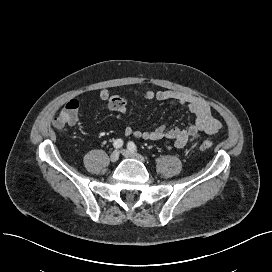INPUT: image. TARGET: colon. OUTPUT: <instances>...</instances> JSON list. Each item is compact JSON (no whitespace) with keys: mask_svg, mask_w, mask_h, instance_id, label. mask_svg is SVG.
<instances>
[{"mask_svg":"<svg viewBox=\"0 0 272 272\" xmlns=\"http://www.w3.org/2000/svg\"><path fill=\"white\" fill-rule=\"evenodd\" d=\"M70 122H71V118L69 117V115H64L63 113H61L54 120L53 125H54L55 128L61 129V128L69 126ZM198 147L201 150H207V149H210L212 147V143L210 141H208V140H204V141H201L198 144Z\"/></svg>","mask_w":272,"mask_h":272,"instance_id":"obj_1","label":"colon"}]
</instances>
